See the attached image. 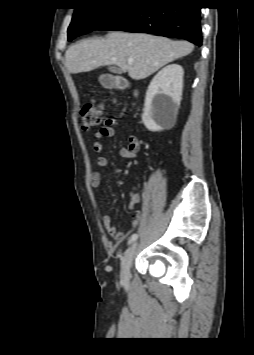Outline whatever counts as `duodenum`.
<instances>
[{
  "instance_id": "1",
  "label": "duodenum",
  "mask_w": 254,
  "mask_h": 355,
  "mask_svg": "<svg viewBox=\"0 0 254 355\" xmlns=\"http://www.w3.org/2000/svg\"><path fill=\"white\" fill-rule=\"evenodd\" d=\"M112 85H117L120 88H124L125 87V84L122 83V82H112Z\"/></svg>"
}]
</instances>
